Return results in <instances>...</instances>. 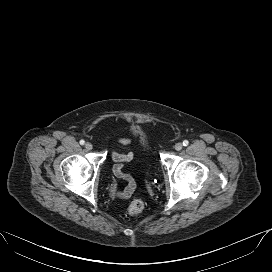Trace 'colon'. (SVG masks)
<instances>
[{
  "label": "colon",
  "instance_id": "obj_1",
  "mask_svg": "<svg viewBox=\"0 0 272 272\" xmlns=\"http://www.w3.org/2000/svg\"><path fill=\"white\" fill-rule=\"evenodd\" d=\"M144 209V203L140 199H134L129 207H128V212L130 215H137L141 213Z\"/></svg>",
  "mask_w": 272,
  "mask_h": 272
}]
</instances>
